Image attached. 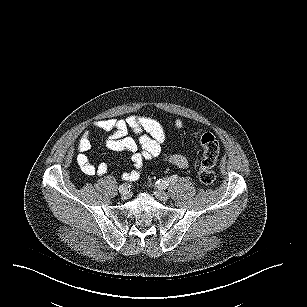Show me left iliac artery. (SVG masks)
<instances>
[{
    "instance_id": "1",
    "label": "left iliac artery",
    "mask_w": 307,
    "mask_h": 307,
    "mask_svg": "<svg viewBox=\"0 0 307 307\" xmlns=\"http://www.w3.org/2000/svg\"><path fill=\"white\" fill-rule=\"evenodd\" d=\"M178 180V175H172L171 177H169L168 179L165 180H158L156 182V184L158 185V187L160 188H167V186L169 185V183H175Z\"/></svg>"
}]
</instances>
